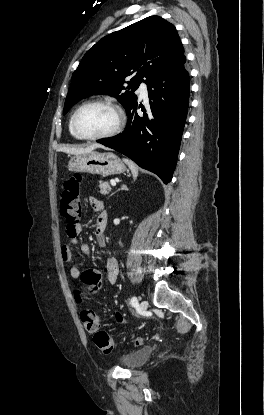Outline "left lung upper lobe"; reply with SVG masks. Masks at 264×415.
Here are the masks:
<instances>
[{
	"label": "left lung upper lobe",
	"instance_id": "obj_1",
	"mask_svg": "<svg viewBox=\"0 0 264 415\" xmlns=\"http://www.w3.org/2000/svg\"><path fill=\"white\" fill-rule=\"evenodd\" d=\"M183 56L176 28L159 16L113 32L88 50L74 71L63 114L93 94L116 97L127 110L136 102L133 92L141 82L148 84ZM128 76L132 78L125 87Z\"/></svg>",
	"mask_w": 264,
	"mask_h": 415
}]
</instances>
